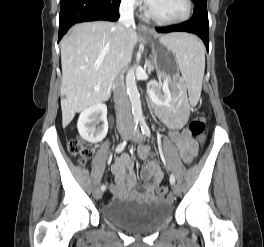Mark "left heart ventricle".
<instances>
[{
	"mask_svg": "<svg viewBox=\"0 0 264 247\" xmlns=\"http://www.w3.org/2000/svg\"><path fill=\"white\" fill-rule=\"evenodd\" d=\"M156 15L165 19H175L184 15L185 0H156L151 6Z\"/></svg>",
	"mask_w": 264,
	"mask_h": 247,
	"instance_id": "left-heart-ventricle-1",
	"label": "left heart ventricle"
}]
</instances>
